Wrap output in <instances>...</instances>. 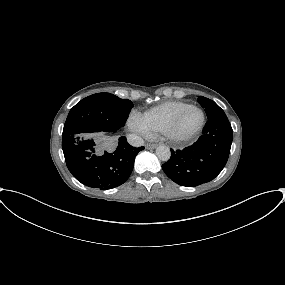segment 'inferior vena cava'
I'll return each instance as SVG.
<instances>
[{"mask_svg": "<svg viewBox=\"0 0 285 285\" xmlns=\"http://www.w3.org/2000/svg\"><path fill=\"white\" fill-rule=\"evenodd\" d=\"M127 141L131 146L140 147L144 144V140L136 134H128Z\"/></svg>", "mask_w": 285, "mask_h": 285, "instance_id": "1", "label": "inferior vena cava"}]
</instances>
